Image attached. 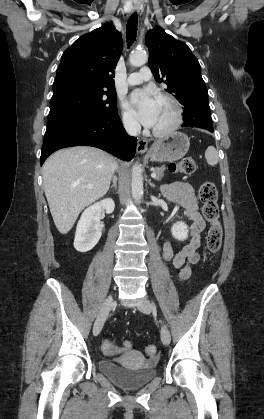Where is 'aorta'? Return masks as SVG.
<instances>
[{
	"instance_id": "obj_1",
	"label": "aorta",
	"mask_w": 264,
	"mask_h": 419,
	"mask_svg": "<svg viewBox=\"0 0 264 419\" xmlns=\"http://www.w3.org/2000/svg\"><path fill=\"white\" fill-rule=\"evenodd\" d=\"M148 60V56L145 51H135L132 52L129 61L130 64L135 67H140L144 65ZM131 188L132 196L136 202H141L143 197V177L141 173V167L138 164H135L132 168L131 174Z\"/></svg>"
}]
</instances>
